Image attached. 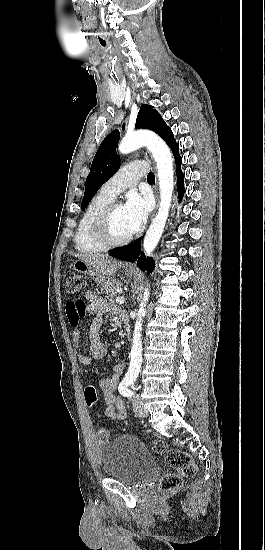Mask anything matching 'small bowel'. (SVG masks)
Here are the masks:
<instances>
[{"label":"small bowel","mask_w":265,"mask_h":550,"mask_svg":"<svg viewBox=\"0 0 265 550\" xmlns=\"http://www.w3.org/2000/svg\"><path fill=\"white\" fill-rule=\"evenodd\" d=\"M83 298L85 301L88 302V305L85 304L83 315H94V318L92 319L88 328L90 354L86 355L80 349L79 341L81 337V331L78 326L73 327L72 342L74 346V352L78 361L82 365L87 366L96 359L105 358L109 352L108 346L101 341L100 336L102 315H118L124 319L126 318V315L118 307L108 303L107 301L96 295L93 291H86ZM77 311L78 309L73 306L71 302L68 303L66 307L68 319L71 314H76ZM124 368L125 363L119 362L114 367L112 376L107 379H102L99 383L106 404L105 415L114 421H122L127 416V410L123 400L115 393L119 386Z\"/></svg>","instance_id":"small-bowel-1"}]
</instances>
